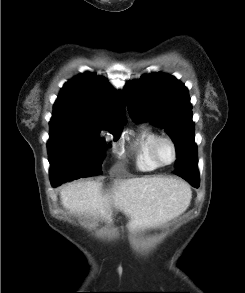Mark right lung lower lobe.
Here are the masks:
<instances>
[{
  "mask_svg": "<svg viewBox=\"0 0 245 293\" xmlns=\"http://www.w3.org/2000/svg\"><path fill=\"white\" fill-rule=\"evenodd\" d=\"M58 185H60V184H57V183H53V182H52V186H53V187H56V186H58Z\"/></svg>",
  "mask_w": 245,
  "mask_h": 293,
  "instance_id": "obj_1",
  "label": "right lung lower lobe"
}]
</instances>
